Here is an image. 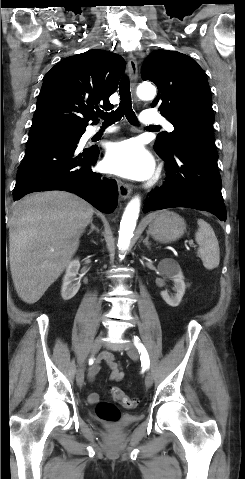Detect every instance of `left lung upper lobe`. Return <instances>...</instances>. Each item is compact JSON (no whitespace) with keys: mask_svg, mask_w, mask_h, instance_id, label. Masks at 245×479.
<instances>
[{"mask_svg":"<svg viewBox=\"0 0 245 479\" xmlns=\"http://www.w3.org/2000/svg\"><path fill=\"white\" fill-rule=\"evenodd\" d=\"M142 79L156 84L152 107L174 126L173 132L157 136L158 154L169 155L177 145L194 139L214 141L210 88L196 61L176 51L155 50L142 65Z\"/></svg>","mask_w":245,"mask_h":479,"instance_id":"5c2ea615","label":"left lung upper lobe"}]
</instances>
